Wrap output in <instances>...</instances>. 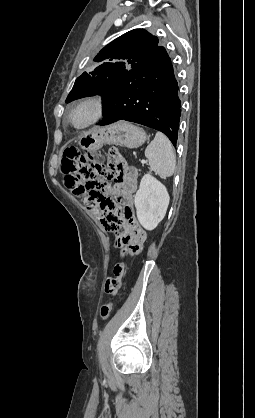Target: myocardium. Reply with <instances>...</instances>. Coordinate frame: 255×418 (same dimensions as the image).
I'll list each match as a JSON object with an SVG mask.
<instances>
[{
  "label": "myocardium",
  "instance_id": "obj_1",
  "mask_svg": "<svg viewBox=\"0 0 255 418\" xmlns=\"http://www.w3.org/2000/svg\"><path fill=\"white\" fill-rule=\"evenodd\" d=\"M90 107L91 115L82 124H74L72 121L73 113L81 107ZM105 115V102L99 95H88L76 101L68 110L66 121L67 124L75 130H84L99 123Z\"/></svg>",
  "mask_w": 255,
  "mask_h": 418
}]
</instances>
